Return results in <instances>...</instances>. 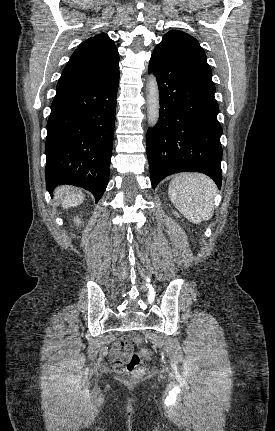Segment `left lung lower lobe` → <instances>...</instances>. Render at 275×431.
<instances>
[{
  "mask_svg": "<svg viewBox=\"0 0 275 431\" xmlns=\"http://www.w3.org/2000/svg\"><path fill=\"white\" fill-rule=\"evenodd\" d=\"M157 78L160 116L146 138L152 187L179 172H201L221 187L222 127L214 94L185 66L156 47L149 73Z\"/></svg>",
  "mask_w": 275,
  "mask_h": 431,
  "instance_id": "0a47b994",
  "label": "left lung lower lobe"
}]
</instances>
